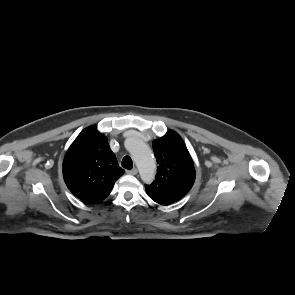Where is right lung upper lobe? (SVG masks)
Masks as SVG:
<instances>
[{
	"mask_svg": "<svg viewBox=\"0 0 295 295\" xmlns=\"http://www.w3.org/2000/svg\"><path fill=\"white\" fill-rule=\"evenodd\" d=\"M123 173L107 138L94 126L82 130L63 161V177L67 187L87 203L103 201Z\"/></svg>",
	"mask_w": 295,
	"mask_h": 295,
	"instance_id": "obj_1",
	"label": "right lung upper lobe"
}]
</instances>
